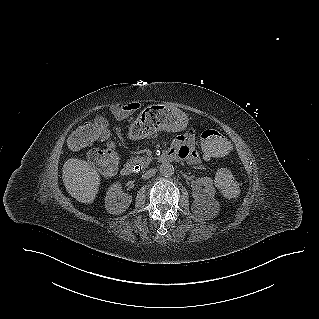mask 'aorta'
Masks as SVG:
<instances>
[{
  "mask_svg": "<svg viewBox=\"0 0 319 319\" xmlns=\"http://www.w3.org/2000/svg\"><path fill=\"white\" fill-rule=\"evenodd\" d=\"M159 171L162 176L171 177L174 174V167L170 163H163Z\"/></svg>",
  "mask_w": 319,
  "mask_h": 319,
  "instance_id": "762f6f07",
  "label": "aorta"
}]
</instances>
